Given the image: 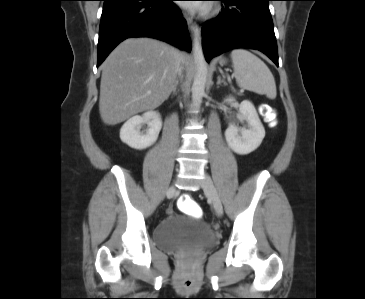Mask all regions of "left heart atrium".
I'll return each mask as SVG.
<instances>
[{"mask_svg": "<svg viewBox=\"0 0 365 299\" xmlns=\"http://www.w3.org/2000/svg\"><path fill=\"white\" fill-rule=\"evenodd\" d=\"M189 6H191V7H197V6H199V4H193V5H189Z\"/></svg>", "mask_w": 365, "mask_h": 299, "instance_id": "left-heart-atrium-1", "label": "left heart atrium"}]
</instances>
